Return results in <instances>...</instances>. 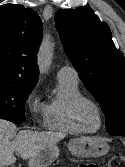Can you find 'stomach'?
Listing matches in <instances>:
<instances>
[{"mask_svg": "<svg viewBox=\"0 0 125 167\" xmlns=\"http://www.w3.org/2000/svg\"><path fill=\"white\" fill-rule=\"evenodd\" d=\"M68 149L74 156L89 158L105 155L110 147L101 138L80 137L71 139ZM58 156L59 148L56 145L46 147L29 159V167H48Z\"/></svg>", "mask_w": 125, "mask_h": 167, "instance_id": "obj_1", "label": "stomach"}]
</instances>
